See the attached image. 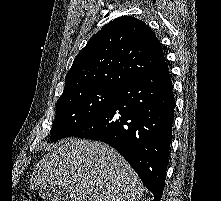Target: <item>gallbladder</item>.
<instances>
[{"label":"gallbladder","instance_id":"gallbladder-1","mask_svg":"<svg viewBox=\"0 0 221 201\" xmlns=\"http://www.w3.org/2000/svg\"><path fill=\"white\" fill-rule=\"evenodd\" d=\"M39 196L44 201H60L65 198V192L57 185H47L40 189Z\"/></svg>","mask_w":221,"mask_h":201}]
</instances>
